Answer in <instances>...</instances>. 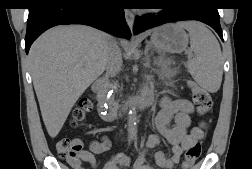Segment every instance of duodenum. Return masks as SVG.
<instances>
[{"mask_svg":"<svg viewBox=\"0 0 252 169\" xmlns=\"http://www.w3.org/2000/svg\"><path fill=\"white\" fill-rule=\"evenodd\" d=\"M97 94L99 102V111L101 118L106 122H112L117 116V103L110 99L107 94V85L103 79L97 80L92 87ZM152 106L151 96H143L138 100L132 101L127 109L136 108L144 110Z\"/></svg>","mask_w":252,"mask_h":169,"instance_id":"410a0bca","label":"duodenum"}]
</instances>
